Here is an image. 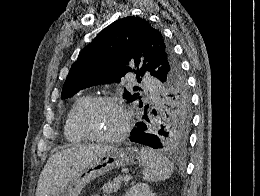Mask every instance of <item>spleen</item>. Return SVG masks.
<instances>
[{
  "label": "spleen",
  "mask_w": 260,
  "mask_h": 196,
  "mask_svg": "<svg viewBox=\"0 0 260 196\" xmlns=\"http://www.w3.org/2000/svg\"><path fill=\"white\" fill-rule=\"evenodd\" d=\"M139 158L143 166V180L146 182H161V180L170 178L173 164L159 152H155L151 148H141Z\"/></svg>",
  "instance_id": "3e777b00"
}]
</instances>
